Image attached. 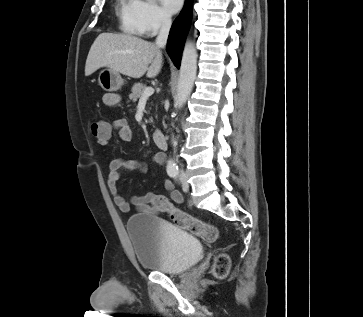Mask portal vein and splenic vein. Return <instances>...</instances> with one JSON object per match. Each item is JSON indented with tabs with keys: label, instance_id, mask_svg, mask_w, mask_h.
I'll return each mask as SVG.
<instances>
[{
	"label": "portal vein and splenic vein",
	"instance_id": "obj_1",
	"mask_svg": "<svg viewBox=\"0 0 363 317\" xmlns=\"http://www.w3.org/2000/svg\"><path fill=\"white\" fill-rule=\"evenodd\" d=\"M154 93L153 87H146L140 99H147Z\"/></svg>",
	"mask_w": 363,
	"mask_h": 317
}]
</instances>
